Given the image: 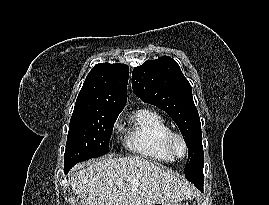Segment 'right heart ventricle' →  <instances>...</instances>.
<instances>
[{
    "label": "right heart ventricle",
    "instance_id": "e07e8e85",
    "mask_svg": "<svg viewBox=\"0 0 269 205\" xmlns=\"http://www.w3.org/2000/svg\"><path fill=\"white\" fill-rule=\"evenodd\" d=\"M172 131L158 112L142 108L132 117L125 145L134 155L158 163H171L174 157L167 151L164 139Z\"/></svg>",
    "mask_w": 269,
    "mask_h": 205
}]
</instances>
